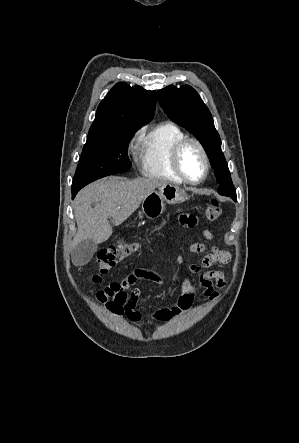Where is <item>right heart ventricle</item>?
I'll return each instance as SVG.
<instances>
[{
	"label": "right heart ventricle",
	"instance_id": "right-heart-ventricle-1",
	"mask_svg": "<svg viewBox=\"0 0 299 443\" xmlns=\"http://www.w3.org/2000/svg\"><path fill=\"white\" fill-rule=\"evenodd\" d=\"M187 137L179 125L174 122H163L153 127L144 135L137 148V156L143 175L182 183L172 165L174 146Z\"/></svg>",
	"mask_w": 299,
	"mask_h": 443
}]
</instances>
